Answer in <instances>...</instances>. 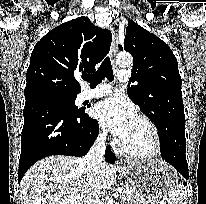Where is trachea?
I'll return each instance as SVG.
<instances>
[{
    "label": "trachea",
    "mask_w": 206,
    "mask_h": 204,
    "mask_svg": "<svg viewBox=\"0 0 206 204\" xmlns=\"http://www.w3.org/2000/svg\"><path fill=\"white\" fill-rule=\"evenodd\" d=\"M112 81L114 79L112 65L109 57H106L100 68L92 75L84 77L90 83V87H96L104 78Z\"/></svg>",
    "instance_id": "obj_1"
}]
</instances>
